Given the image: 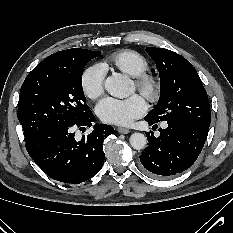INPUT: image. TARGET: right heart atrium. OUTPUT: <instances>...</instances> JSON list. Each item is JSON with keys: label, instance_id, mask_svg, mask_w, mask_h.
I'll list each match as a JSON object with an SVG mask.
<instances>
[{"label": "right heart atrium", "instance_id": "obj_1", "mask_svg": "<svg viewBox=\"0 0 233 233\" xmlns=\"http://www.w3.org/2000/svg\"><path fill=\"white\" fill-rule=\"evenodd\" d=\"M105 69L100 65H93L84 70L80 83L84 94L90 99L100 97L104 92Z\"/></svg>", "mask_w": 233, "mask_h": 233}]
</instances>
